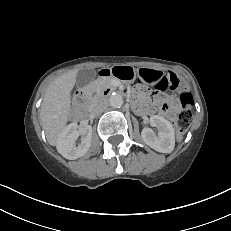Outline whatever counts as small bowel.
I'll use <instances>...</instances> for the list:
<instances>
[{
    "label": "small bowel",
    "mask_w": 231,
    "mask_h": 231,
    "mask_svg": "<svg viewBox=\"0 0 231 231\" xmlns=\"http://www.w3.org/2000/svg\"><path fill=\"white\" fill-rule=\"evenodd\" d=\"M171 78L172 76L166 73L158 72L152 79L154 87L159 91H164L171 86ZM141 83H147V80L141 74L139 77ZM163 102H167L170 104L172 110H177V105L168 98H163ZM146 112H151V109H145Z\"/></svg>",
    "instance_id": "obj_1"
}]
</instances>
